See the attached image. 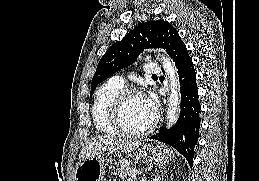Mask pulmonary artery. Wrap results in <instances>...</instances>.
I'll return each instance as SVG.
<instances>
[{"label":"pulmonary artery","mask_w":259,"mask_h":181,"mask_svg":"<svg viewBox=\"0 0 259 181\" xmlns=\"http://www.w3.org/2000/svg\"><path fill=\"white\" fill-rule=\"evenodd\" d=\"M161 72V67L155 63H147L145 66V74L148 76L155 75ZM111 81L121 87H124L126 81L121 76H114Z\"/></svg>","instance_id":"1"}]
</instances>
